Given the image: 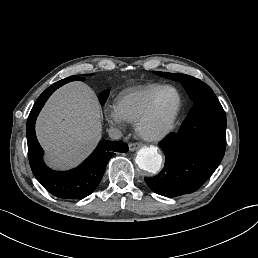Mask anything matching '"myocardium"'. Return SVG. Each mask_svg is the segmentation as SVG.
<instances>
[{
	"instance_id": "obj_1",
	"label": "myocardium",
	"mask_w": 258,
	"mask_h": 258,
	"mask_svg": "<svg viewBox=\"0 0 258 258\" xmlns=\"http://www.w3.org/2000/svg\"><path fill=\"white\" fill-rule=\"evenodd\" d=\"M164 91H172L175 94V96H176L175 111L172 115L171 120L167 124V126L160 133H158L156 135L146 134L142 131L141 125H142L143 121L152 113L154 104H155L158 96L161 93H163ZM180 107H181V97H180L178 91L174 87H171V86L160 87L150 98L146 107L140 113V115L138 116V118L135 121V130H136L137 134L139 135V137L144 140H147V141H160V140L166 138L171 133V131L173 130V128L175 126L177 117L179 115Z\"/></svg>"
}]
</instances>
